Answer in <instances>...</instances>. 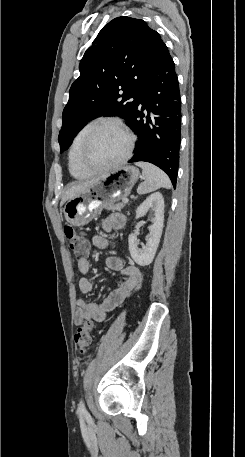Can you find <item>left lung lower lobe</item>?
Listing matches in <instances>:
<instances>
[{"label":"left lung lower lobe","mask_w":245,"mask_h":457,"mask_svg":"<svg viewBox=\"0 0 245 457\" xmlns=\"http://www.w3.org/2000/svg\"><path fill=\"white\" fill-rule=\"evenodd\" d=\"M129 126L138 136L135 155L129 162L146 161L158 166L176 187L181 143V97L175 65L162 40L155 48L141 84L139 107Z\"/></svg>","instance_id":"left-lung-lower-lobe-1"}]
</instances>
